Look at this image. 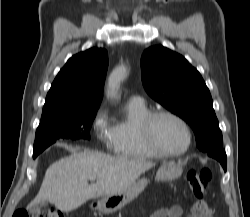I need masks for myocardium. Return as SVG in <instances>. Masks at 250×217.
I'll return each mask as SVG.
<instances>
[{
  "mask_svg": "<svg viewBox=\"0 0 250 217\" xmlns=\"http://www.w3.org/2000/svg\"><path fill=\"white\" fill-rule=\"evenodd\" d=\"M161 117L171 118L177 121L184 128L187 134V138H188L187 145L185 146L184 149L180 151H176V152H168V151L163 150L159 146V144L157 143L155 139L154 126H155V122L157 121V119ZM140 129H141V133H142L145 143L156 155H158V157L171 158V157L181 156L185 154L192 145L193 137H192V131L190 129V126L181 116L169 110L160 109V110L151 111L142 120Z\"/></svg>",
  "mask_w": 250,
  "mask_h": 217,
  "instance_id": "myocardium-1",
  "label": "myocardium"
}]
</instances>
